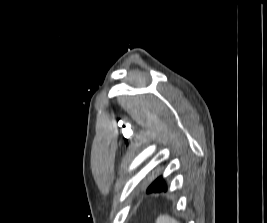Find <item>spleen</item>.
<instances>
[{
	"mask_svg": "<svg viewBox=\"0 0 267 223\" xmlns=\"http://www.w3.org/2000/svg\"><path fill=\"white\" fill-rule=\"evenodd\" d=\"M156 223H179V222L169 217L168 215H161L157 218Z\"/></svg>",
	"mask_w": 267,
	"mask_h": 223,
	"instance_id": "1",
	"label": "spleen"
}]
</instances>
